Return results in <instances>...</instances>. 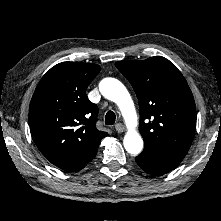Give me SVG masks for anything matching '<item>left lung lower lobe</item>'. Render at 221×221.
Returning a JSON list of instances; mask_svg holds the SVG:
<instances>
[{
    "label": "left lung lower lobe",
    "instance_id": "0a47b994",
    "mask_svg": "<svg viewBox=\"0 0 221 221\" xmlns=\"http://www.w3.org/2000/svg\"><path fill=\"white\" fill-rule=\"evenodd\" d=\"M184 156L159 149L152 145H144L143 152L135 158L137 164L151 175H163L176 168Z\"/></svg>",
    "mask_w": 221,
    "mask_h": 221
}]
</instances>
